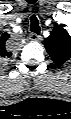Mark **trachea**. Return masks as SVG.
Wrapping results in <instances>:
<instances>
[{"mask_svg": "<svg viewBox=\"0 0 71 119\" xmlns=\"http://www.w3.org/2000/svg\"><path fill=\"white\" fill-rule=\"evenodd\" d=\"M30 21H31V27H30L31 32L35 34H40L41 29L37 17L35 15H32L30 17Z\"/></svg>", "mask_w": 71, "mask_h": 119, "instance_id": "trachea-1", "label": "trachea"}]
</instances>
